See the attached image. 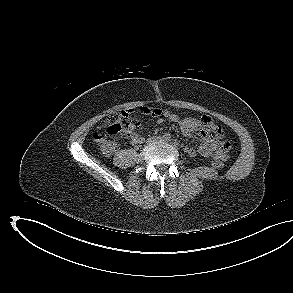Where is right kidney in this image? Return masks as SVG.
I'll list each match as a JSON object with an SVG mask.
<instances>
[{
	"label": "right kidney",
	"instance_id": "1",
	"mask_svg": "<svg viewBox=\"0 0 293 293\" xmlns=\"http://www.w3.org/2000/svg\"><path fill=\"white\" fill-rule=\"evenodd\" d=\"M114 145L115 144L111 141L104 142L100 148L102 154L106 157H110V155L113 153V151L115 149Z\"/></svg>",
	"mask_w": 293,
	"mask_h": 293
}]
</instances>
